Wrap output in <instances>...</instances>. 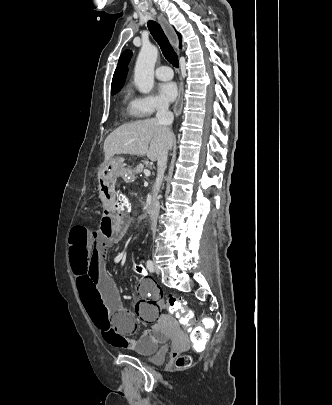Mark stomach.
<instances>
[{
  "label": "stomach",
  "instance_id": "stomach-1",
  "mask_svg": "<svg viewBox=\"0 0 332 405\" xmlns=\"http://www.w3.org/2000/svg\"><path fill=\"white\" fill-rule=\"evenodd\" d=\"M117 165H118V171H124L126 170V164L124 163V159L121 157L116 158Z\"/></svg>",
  "mask_w": 332,
  "mask_h": 405
}]
</instances>
